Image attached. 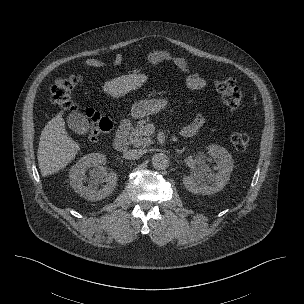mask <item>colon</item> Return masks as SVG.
I'll return each instance as SVG.
<instances>
[{
    "instance_id": "colon-1",
    "label": "colon",
    "mask_w": 304,
    "mask_h": 304,
    "mask_svg": "<svg viewBox=\"0 0 304 304\" xmlns=\"http://www.w3.org/2000/svg\"><path fill=\"white\" fill-rule=\"evenodd\" d=\"M80 80V76L77 75L58 78L51 88L52 103L60 109L78 111L79 107L72 101L71 94ZM214 86L228 110L235 111L241 106L242 94L234 78L229 76L218 78L214 81ZM85 114L90 122L89 136L91 138L97 139L111 130V120L99 111L88 108ZM231 143L237 151L245 152L250 147L251 139L245 133L235 132L231 135Z\"/></svg>"
}]
</instances>
